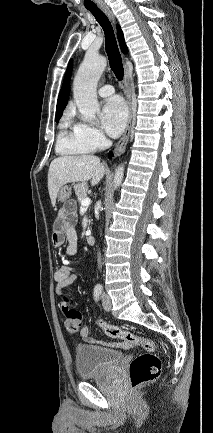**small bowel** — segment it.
Here are the masks:
<instances>
[{"label": "small bowel", "mask_w": 213, "mask_h": 433, "mask_svg": "<svg viewBox=\"0 0 213 433\" xmlns=\"http://www.w3.org/2000/svg\"><path fill=\"white\" fill-rule=\"evenodd\" d=\"M77 216L73 210L63 209L57 217L53 226L52 241L55 246H61L65 241L67 245L64 248V255L71 257L77 253L78 250V236L75 229V223ZM54 279L57 284V293L60 296H64V289L67 288L75 279L72 274V264L69 260H65L61 267H59L54 273ZM62 311L64 315L74 309L68 300H63ZM80 336L83 340L89 343H96V339L90 336V330L88 327H83L80 331ZM100 344L108 345L113 348H128L129 344L124 341Z\"/></svg>", "instance_id": "small-bowel-1"}]
</instances>
